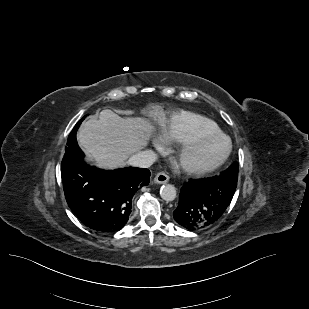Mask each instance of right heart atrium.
I'll return each mask as SVG.
<instances>
[{
  "label": "right heart atrium",
  "instance_id": "obj_1",
  "mask_svg": "<svg viewBox=\"0 0 309 309\" xmlns=\"http://www.w3.org/2000/svg\"><path fill=\"white\" fill-rule=\"evenodd\" d=\"M154 144H155V146H157L158 145L157 141H155Z\"/></svg>",
  "mask_w": 309,
  "mask_h": 309
}]
</instances>
